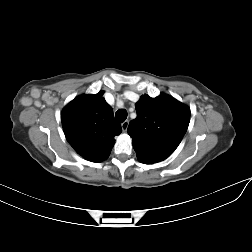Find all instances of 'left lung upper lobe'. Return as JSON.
Segmentation results:
<instances>
[{
  "mask_svg": "<svg viewBox=\"0 0 252 252\" xmlns=\"http://www.w3.org/2000/svg\"><path fill=\"white\" fill-rule=\"evenodd\" d=\"M136 119L128 126L138 159L160 162L168 158L184 137L190 108L167 94L141 96L136 103Z\"/></svg>",
  "mask_w": 252,
  "mask_h": 252,
  "instance_id": "1",
  "label": "left lung upper lobe"
}]
</instances>
